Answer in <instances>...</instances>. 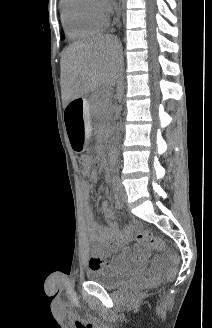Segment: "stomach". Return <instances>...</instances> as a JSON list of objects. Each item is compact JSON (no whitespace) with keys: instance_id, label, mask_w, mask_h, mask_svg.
<instances>
[{"instance_id":"1","label":"stomach","mask_w":212,"mask_h":328,"mask_svg":"<svg viewBox=\"0 0 212 328\" xmlns=\"http://www.w3.org/2000/svg\"><path fill=\"white\" fill-rule=\"evenodd\" d=\"M75 100L67 102V105H65L64 127L67 128V139L70 140L69 143L72 149L81 151L87 149L88 135L86 132L89 127V110L86 109V102L84 100L74 102Z\"/></svg>"}]
</instances>
